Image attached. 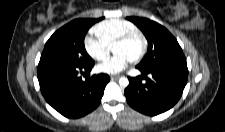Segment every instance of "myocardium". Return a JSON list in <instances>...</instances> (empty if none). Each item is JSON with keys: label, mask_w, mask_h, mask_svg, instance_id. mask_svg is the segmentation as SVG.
Listing matches in <instances>:
<instances>
[{"label": "myocardium", "mask_w": 225, "mask_h": 132, "mask_svg": "<svg viewBox=\"0 0 225 132\" xmlns=\"http://www.w3.org/2000/svg\"><path fill=\"white\" fill-rule=\"evenodd\" d=\"M134 37H139L142 41L141 51L139 52V54L137 56H135L132 59L133 62H139L144 58V56L146 55L147 50H148V40H147L146 36L140 30H138V29L132 30V31H129V32L123 34L114 42L113 48L117 45L124 44V43L130 41Z\"/></svg>", "instance_id": "obj_1"}]
</instances>
